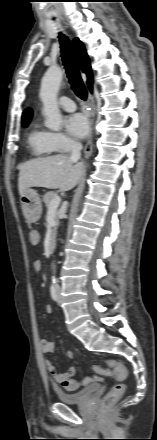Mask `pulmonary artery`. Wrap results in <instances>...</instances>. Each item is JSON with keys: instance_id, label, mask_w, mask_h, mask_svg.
Returning <instances> with one entry per match:
<instances>
[{"instance_id": "pulmonary-artery-1", "label": "pulmonary artery", "mask_w": 157, "mask_h": 440, "mask_svg": "<svg viewBox=\"0 0 157 440\" xmlns=\"http://www.w3.org/2000/svg\"><path fill=\"white\" fill-rule=\"evenodd\" d=\"M59 105L62 109L68 112H72L76 109L75 103L67 97H61L59 99Z\"/></svg>"}]
</instances>
